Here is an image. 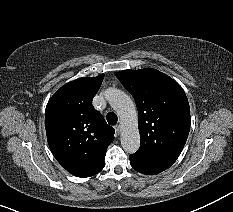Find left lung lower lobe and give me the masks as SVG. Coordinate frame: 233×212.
Masks as SVG:
<instances>
[{"mask_svg": "<svg viewBox=\"0 0 233 212\" xmlns=\"http://www.w3.org/2000/svg\"><path fill=\"white\" fill-rule=\"evenodd\" d=\"M131 166L138 172L146 175L158 174L170 166L154 162L142 155L132 154L129 156Z\"/></svg>", "mask_w": 233, "mask_h": 212, "instance_id": "left-lung-lower-lobe-1", "label": "left lung lower lobe"}]
</instances>
